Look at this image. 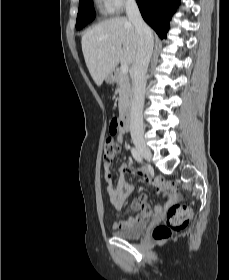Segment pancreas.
Masks as SVG:
<instances>
[{"label":"pancreas","instance_id":"1","mask_svg":"<svg viewBox=\"0 0 229 280\" xmlns=\"http://www.w3.org/2000/svg\"><path fill=\"white\" fill-rule=\"evenodd\" d=\"M117 84L119 93V112L122 113L131 102L133 88L129 76L122 72L117 74Z\"/></svg>","mask_w":229,"mask_h":280}]
</instances>
